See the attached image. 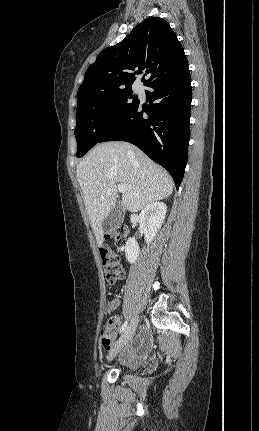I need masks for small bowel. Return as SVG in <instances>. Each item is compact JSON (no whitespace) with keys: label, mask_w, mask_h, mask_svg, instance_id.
I'll use <instances>...</instances> for the list:
<instances>
[{"label":"small bowel","mask_w":259,"mask_h":431,"mask_svg":"<svg viewBox=\"0 0 259 431\" xmlns=\"http://www.w3.org/2000/svg\"><path fill=\"white\" fill-rule=\"evenodd\" d=\"M118 305H119L118 299L112 300L110 302L111 310H114L115 308H117ZM117 326H118V321L116 320L114 328H117ZM109 337H110V341H111L110 344L108 346L103 345L104 348L107 350H109L113 344V341L115 338L114 329H112L110 331ZM147 344H148L147 334L145 332H142L137 339H135L131 342L128 349L123 353V358L126 360H132V358H134L138 355L143 356L145 351H146Z\"/></svg>","instance_id":"c3829d8e"}]
</instances>
